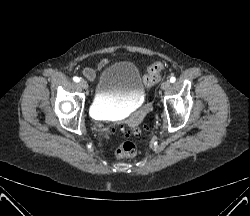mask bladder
<instances>
[{
	"label": "bladder",
	"instance_id": "obj_1",
	"mask_svg": "<svg viewBox=\"0 0 250 216\" xmlns=\"http://www.w3.org/2000/svg\"><path fill=\"white\" fill-rule=\"evenodd\" d=\"M144 98V86L137 66L130 61H118L101 71L91 111L99 118L118 116L142 105Z\"/></svg>",
	"mask_w": 250,
	"mask_h": 216
}]
</instances>
